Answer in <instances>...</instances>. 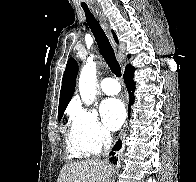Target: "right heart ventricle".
I'll list each match as a JSON object with an SVG mask.
<instances>
[{
  "instance_id": "e07e8e85",
  "label": "right heart ventricle",
  "mask_w": 196,
  "mask_h": 182,
  "mask_svg": "<svg viewBox=\"0 0 196 182\" xmlns=\"http://www.w3.org/2000/svg\"><path fill=\"white\" fill-rule=\"evenodd\" d=\"M66 149L68 155L73 159H80L87 154L76 141L72 129L67 135Z\"/></svg>"
}]
</instances>
